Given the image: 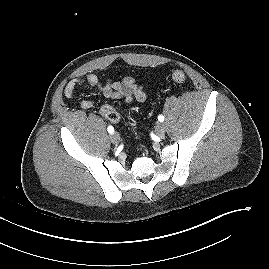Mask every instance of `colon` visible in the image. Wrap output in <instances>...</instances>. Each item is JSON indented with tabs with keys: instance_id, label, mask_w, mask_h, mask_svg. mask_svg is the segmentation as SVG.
I'll return each mask as SVG.
<instances>
[{
	"instance_id": "obj_1",
	"label": "colon",
	"mask_w": 269,
	"mask_h": 269,
	"mask_svg": "<svg viewBox=\"0 0 269 269\" xmlns=\"http://www.w3.org/2000/svg\"><path fill=\"white\" fill-rule=\"evenodd\" d=\"M172 79L180 84H183L186 80V76L184 74L183 71L180 70H175L172 74H171ZM105 112H106V117L107 119H109L112 122H118L120 119L119 114L110 106L107 105L105 107Z\"/></svg>"
}]
</instances>
